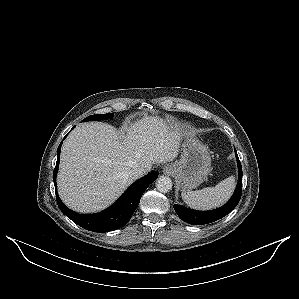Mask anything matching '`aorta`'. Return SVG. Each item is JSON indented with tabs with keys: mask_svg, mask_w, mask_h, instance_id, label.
Instances as JSON below:
<instances>
[{
	"mask_svg": "<svg viewBox=\"0 0 299 299\" xmlns=\"http://www.w3.org/2000/svg\"><path fill=\"white\" fill-rule=\"evenodd\" d=\"M172 180L167 176H160L156 180V188L162 193H167L172 189Z\"/></svg>",
	"mask_w": 299,
	"mask_h": 299,
	"instance_id": "1",
	"label": "aorta"
}]
</instances>
